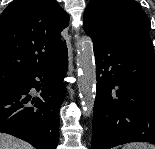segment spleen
<instances>
[{
    "mask_svg": "<svg viewBox=\"0 0 155 149\" xmlns=\"http://www.w3.org/2000/svg\"><path fill=\"white\" fill-rule=\"evenodd\" d=\"M122 149H155V145L148 143H129L124 145Z\"/></svg>",
    "mask_w": 155,
    "mask_h": 149,
    "instance_id": "spleen-1",
    "label": "spleen"
}]
</instances>
